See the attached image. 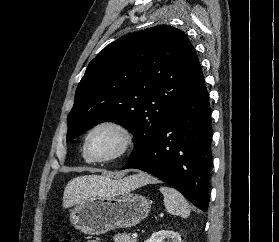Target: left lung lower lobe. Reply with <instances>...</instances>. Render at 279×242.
Wrapping results in <instances>:
<instances>
[{
	"label": "left lung lower lobe",
	"mask_w": 279,
	"mask_h": 242,
	"mask_svg": "<svg viewBox=\"0 0 279 242\" xmlns=\"http://www.w3.org/2000/svg\"><path fill=\"white\" fill-rule=\"evenodd\" d=\"M211 139L209 96L198 61L158 137L142 155L129 159L123 169L148 172L180 191L202 211H207Z\"/></svg>",
	"instance_id": "1"
}]
</instances>
